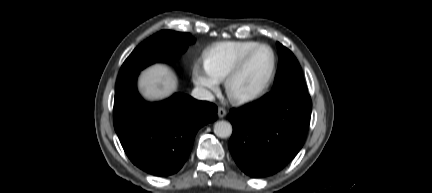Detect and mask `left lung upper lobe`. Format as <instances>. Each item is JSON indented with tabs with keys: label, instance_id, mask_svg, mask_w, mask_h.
Instances as JSON below:
<instances>
[{
	"label": "left lung upper lobe",
	"instance_id": "left-lung-upper-lobe-1",
	"mask_svg": "<svg viewBox=\"0 0 432 193\" xmlns=\"http://www.w3.org/2000/svg\"><path fill=\"white\" fill-rule=\"evenodd\" d=\"M279 63L274 81V92H307L300 65L293 53L277 42Z\"/></svg>",
	"mask_w": 432,
	"mask_h": 193
}]
</instances>
